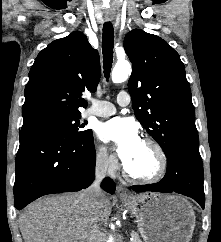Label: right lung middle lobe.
Listing matches in <instances>:
<instances>
[{
    "label": "right lung middle lobe",
    "instance_id": "1",
    "mask_svg": "<svg viewBox=\"0 0 221 242\" xmlns=\"http://www.w3.org/2000/svg\"><path fill=\"white\" fill-rule=\"evenodd\" d=\"M81 114H76L68 117H59L41 120L28 125H24L21 131L29 130H50L65 135L68 138L80 139L91 134V130H81L83 125H80L79 118Z\"/></svg>",
    "mask_w": 221,
    "mask_h": 242
}]
</instances>
